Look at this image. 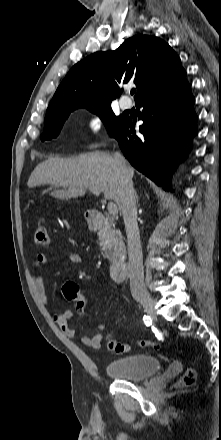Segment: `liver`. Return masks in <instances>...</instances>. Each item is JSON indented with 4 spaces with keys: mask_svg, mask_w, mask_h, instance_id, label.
Instances as JSON below:
<instances>
[{
    "mask_svg": "<svg viewBox=\"0 0 221 440\" xmlns=\"http://www.w3.org/2000/svg\"><path fill=\"white\" fill-rule=\"evenodd\" d=\"M128 167L133 177L134 169ZM46 184L64 187L50 194L61 200L82 197L86 189H97L105 199H113L122 211L121 173L114 158L106 152H89L72 159L49 158L35 167L27 183L29 188Z\"/></svg>",
    "mask_w": 221,
    "mask_h": 440,
    "instance_id": "6515ba94",
    "label": "liver"
}]
</instances>
